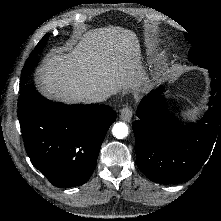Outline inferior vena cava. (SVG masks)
<instances>
[{
    "instance_id": "602c4592",
    "label": "inferior vena cava",
    "mask_w": 221,
    "mask_h": 221,
    "mask_svg": "<svg viewBox=\"0 0 221 221\" xmlns=\"http://www.w3.org/2000/svg\"><path fill=\"white\" fill-rule=\"evenodd\" d=\"M107 97L106 93H90L87 94L85 99L87 102H103L105 100V98Z\"/></svg>"
}]
</instances>
